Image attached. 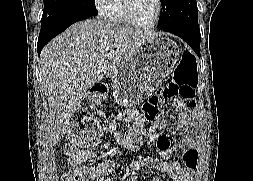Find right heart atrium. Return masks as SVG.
I'll return each mask as SVG.
<instances>
[{
  "mask_svg": "<svg viewBox=\"0 0 253 181\" xmlns=\"http://www.w3.org/2000/svg\"><path fill=\"white\" fill-rule=\"evenodd\" d=\"M113 0H93V5L97 13L103 17L108 18L111 12Z\"/></svg>",
  "mask_w": 253,
  "mask_h": 181,
  "instance_id": "right-heart-atrium-1",
  "label": "right heart atrium"
}]
</instances>
